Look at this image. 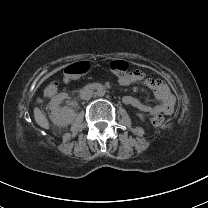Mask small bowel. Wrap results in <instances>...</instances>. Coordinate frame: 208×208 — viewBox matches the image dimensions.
<instances>
[{
	"label": "small bowel",
	"instance_id": "1",
	"mask_svg": "<svg viewBox=\"0 0 208 208\" xmlns=\"http://www.w3.org/2000/svg\"><path fill=\"white\" fill-rule=\"evenodd\" d=\"M120 83L124 86L143 84L153 90L158 103L151 105L133 96H125L123 101L144 113L155 116L158 114L170 115L173 112L175 98L169 87L160 79L146 78L142 71H134L120 77Z\"/></svg>",
	"mask_w": 208,
	"mask_h": 208
}]
</instances>
